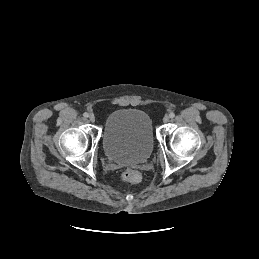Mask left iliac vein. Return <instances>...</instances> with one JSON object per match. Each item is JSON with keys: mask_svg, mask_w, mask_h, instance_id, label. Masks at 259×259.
Returning a JSON list of instances; mask_svg holds the SVG:
<instances>
[{"mask_svg": "<svg viewBox=\"0 0 259 259\" xmlns=\"http://www.w3.org/2000/svg\"><path fill=\"white\" fill-rule=\"evenodd\" d=\"M168 121H169V116H164L163 122H164V123H167Z\"/></svg>", "mask_w": 259, "mask_h": 259, "instance_id": "left-iliac-vein-1", "label": "left iliac vein"}]
</instances>
